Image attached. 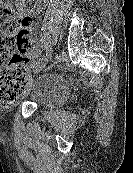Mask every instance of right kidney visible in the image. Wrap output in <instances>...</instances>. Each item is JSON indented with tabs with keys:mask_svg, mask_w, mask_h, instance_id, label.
I'll return each mask as SVG.
<instances>
[{
	"mask_svg": "<svg viewBox=\"0 0 133 173\" xmlns=\"http://www.w3.org/2000/svg\"><path fill=\"white\" fill-rule=\"evenodd\" d=\"M25 1L26 0H20V6H24L25 5Z\"/></svg>",
	"mask_w": 133,
	"mask_h": 173,
	"instance_id": "1",
	"label": "right kidney"
}]
</instances>
